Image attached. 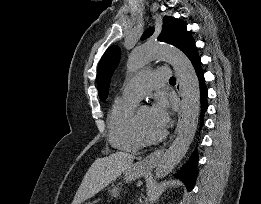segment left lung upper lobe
I'll use <instances>...</instances> for the list:
<instances>
[{"instance_id": "5c2ea615", "label": "left lung upper lobe", "mask_w": 261, "mask_h": 204, "mask_svg": "<svg viewBox=\"0 0 261 204\" xmlns=\"http://www.w3.org/2000/svg\"><path fill=\"white\" fill-rule=\"evenodd\" d=\"M154 32L153 28L147 29L141 37V40H145L151 36ZM192 36L188 34L186 25L182 20L175 19L173 17H164L162 32L158 37V40L169 43L181 51L192 40ZM121 50L118 46H111L102 56L98 71H97V86L98 94L101 100L107 98L110 79L120 59Z\"/></svg>"}]
</instances>
